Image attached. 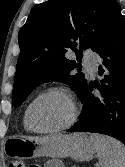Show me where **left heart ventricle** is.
I'll use <instances>...</instances> for the list:
<instances>
[{
	"label": "left heart ventricle",
	"instance_id": "b2bd125f",
	"mask_svg": "<svg viewBox=\"0 0 125 167\" xmlns=\"http://www.w3.org/2000/svg\"><path fill=\"white\" fill-rule=\"evenodd\" d=\"M70 115V107L64 97L50 94L33 106L31 124L36 129H50L63 124Z\"/></svg>",
	"mask_w": 125,
	"mask_h": 167
}]
</instances>
